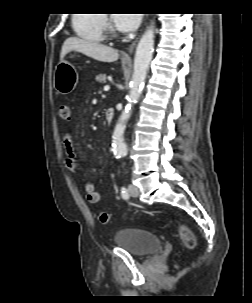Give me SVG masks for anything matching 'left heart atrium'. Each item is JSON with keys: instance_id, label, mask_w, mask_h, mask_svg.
I'll use <instances>...</instances> for the list:
<instances>
[{"instance_id": "left-heart-atrium-1", "label": "left heart atrium", "mask_w": 252, "mask_h": 303, "mask_svg": "<svg viewBox=\"0 0 252 303\" xmlns=\"http://www.w3.org/2000/svg\"><path fill=\"white\" fill-rule=\"evenodd\" d=\"M114 23L118 30L122 32H132L140 24L139 14H115Z\"/></svg>"}]
</instances>
